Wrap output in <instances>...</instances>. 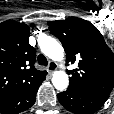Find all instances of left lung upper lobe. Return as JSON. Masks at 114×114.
<instances>
[{
    "label": "left lung upper lobe",
    "instance_id": "1",
    "mask_svg": "<svg viewBox=\"0 0 114 114\" xmlns=\"http://www.w3.org/2000/svg\"><path fill=\"white\" fill-rule=\"evenodd\" d=\"M49 30L62 43L66 64L77 63L69 87L109 96L114 86V54L90 22L77 17L49 21Z\"/></svg>",
    "mask_w": 114,
    "mask_h": 114
}]
</instances>
